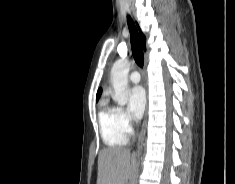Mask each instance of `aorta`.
<instances>
[{
    "mask_svg": "<svg viewBox=\"0 0 235 184\" xmlns=\"http://www.w3.org/2000/svg\"><path fill=\"white\" fill-rule=\"evenodd\" d=\"M130 70V64L128 60H117L113 64L110 78L112 86L115 90V94L112 98L118 106H125L129 98L128 90V72Z\"/></svg>",
    "mask_w": 235,
    "mask_h": 184,
    "instance_id": "1",
    "label": "aorta"
}]
</instances>
